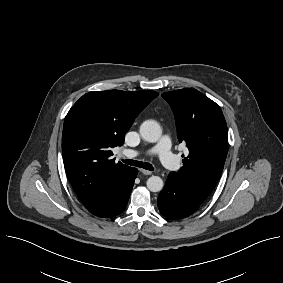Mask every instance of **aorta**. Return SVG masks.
<instances>
[{
    "instance_id": "1",
    "label": "aorta",
    "mask_w": 283,
    "mask_h": 283,
    "mask_svg": "<svg viewBox=\"0 0 283 283\" xmlns=\"http://www.w3.org/2000/svg\"><path fill=\"white\" fill-rule=\"evenodd\" d=\"M140 134L144 140L155 143L160 139L162 129L156 121L146 120L140 126ZM146 185L151 192H159L163 189L164 183L159 176H151Z\"/></svg>"
}]
</instances>
